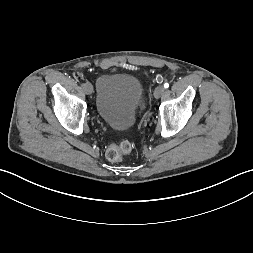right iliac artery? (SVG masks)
<instances>
[{"label":"right iliac artery","instance_id":"obj_1","mask_svg":"<svg viewBox=\"0 0 253 253\" xmlns=\"http://www.w3.org/2000/svg\"><path fill=\"white\" fill-rule=\"evenodd\" d=\"M85 85H86V83H82V84H81V86H82L83 88L85 87Z\"/></svg>","mask_w":253,"mask_h":253}]
</instances>
